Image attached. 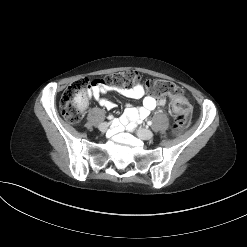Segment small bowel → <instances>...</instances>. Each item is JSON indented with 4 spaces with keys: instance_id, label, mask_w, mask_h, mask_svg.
<instances>
[{
    "instance_id": "obj_1",
    "label": "small bowel",
    "mask_w": 247,
    "mask_h": 247,
    "mask_svg": "<svg viewBox=\"0 0 247 247\" xmlns=\"http://www.w3.org/2000/svg\"><path fill=\"white\" fill-rule=\"evenodd\" d=\"M113 88L104 85L97 80H93V84L89 90V94L99 102V104L106 109H113L114 103L103 98V95ZM115 91L122 96L130 99L142 98V106L135 107L133 105H127L125 112L120 118L122 124H129V128L132 124L142 121L149 116V114L157 107L164 106L166 100L164 98H156L151 95H145L144 86L141 83H135L129 87L116 88Z\"/></svg>"
}]
</instances>
